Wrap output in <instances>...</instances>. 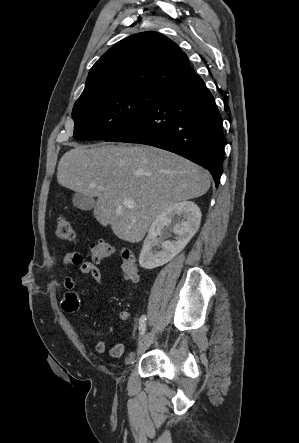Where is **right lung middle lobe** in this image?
<instances>
[{
  "mask_svg": "<svg viewBox=\"0 0 299 443\" xmlns=\"http://www.w3.org/2000/svg\"><path fill=\"white\" fill-rule=\"evenodd\" d=\"M163 91L150 88H122L77 100L72 117L76 140H103L140 118Z\"/></svg>",
  "mask_w": 299,
  "mask_h": 443,
  "instance_id": "1",
  "label": "right lung middle lobe"
}]
</instances>
